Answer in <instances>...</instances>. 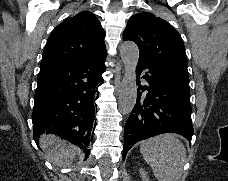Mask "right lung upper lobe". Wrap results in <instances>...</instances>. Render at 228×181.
<instances>
[{
	"label": "right lung upper lobe",
	"mask_w": 228,
	"mask_h": 181,
	"mask_svg": "<svg viewBox=\"0 0 228 181\" xmlns=\"http://www.w3.org/2000/svg\"><path fill=\"white\" fill-rule=\"evenodd\" d=\"M104 31L95 15L82 11L58 25L48 38L40 71L106 55Z\"/></svg>",
	"instance_id": "cb5924a9"
}]
</instances>
